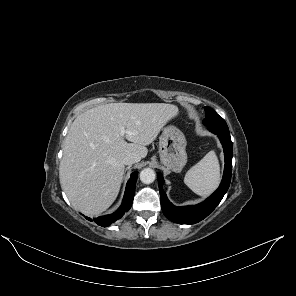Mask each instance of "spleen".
Here are the masks:
<instances>
[{"label":"spleen","mask_w":296,"mask_h":296,"mask_svg":"<svg viewBox=\"0 0 296 296\" xmlns=\"http://www.w3.org/2000/svg\"><path fill=\"white\" fill-rule=\"evenodd\" d=\"M219 180L220 165L213 150L192 166L184 177V183L202 197L211 194L217 188Z\"/></svg>","instance_id":"3e777b00"}]
</instances>
